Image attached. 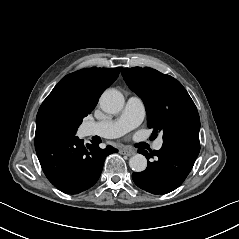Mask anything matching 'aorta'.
<instances>
[{"instance_id":"obj_1","label":"aorta","mask_w":239,"mask_h":239,"mask_svg":"<svg viewBox=\"0 0 239 239\" xmlns=\"http://www.w3.org/2000/svg\"><path fill=\"white\" fill-rule=\"evenodd\" d=\"M124 96L117 89H107L100 97V107L104 112L115 114L124 106ZM129 166L133 171L142 172L147 167V159L141 154L132 156L129 160Z\"/></svg>"}]
</instances>
